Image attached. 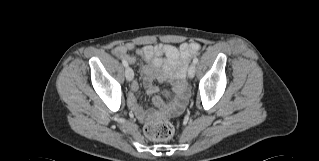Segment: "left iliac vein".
Wrapping results in <instances>:
<instances>
[{"mask_svg": "<svg viewBox=\"0 0 319 161\" xmlns=\"http://www.w3.org/2000/svg\"><path fill=\"white\" fill-rule=\"evenodd\" d=\"M195 71H196V66L195 64H191L188 68V77L189 78H193L195 75Z\"/></svg>", "mask_w": 319, "mask_h": 161, "instance_id": "4c4485c4", "label": "left iliac vein"}]
</instances>
